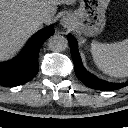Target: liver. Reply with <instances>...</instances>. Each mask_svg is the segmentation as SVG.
Masks as SVG:
<instances>
[{"label": "liver", "instance_id": "1", "mask_svg": "<svg viewBox=\"0 0 128 128\" xmlns=\"http://www.w3.org/2000/svg\"><path fill=\"white\" fill-rule=\"evenodd\" d=\"M76 0H0V61L18 52L43 23L38 19L42 9L51 14L58 5H72Z\"/></svg>", "mask_w": 128, "mask_h": 128}]
</instances>
